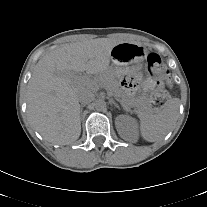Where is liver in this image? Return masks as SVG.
Listing matches in <instances>:
<instances>
[{
    "instance_id": "1",
    "label": "liver",
    "mask_w": 207,
    "mask_h": 207,
    "mask_svg": "<svg viewBox=\"0 0 207 207\" xmlns=\"http://www.w3.org/2000/svg\"><path fill=\"white\" fill-rule=\"evenodd\" d=\"M117 44L118 41L109 38L64 44L38 61L28 82L27 115L46 141L66 145L79 138L78 91L95 89V82L86 77L75 81V74L105 73Z\"/></svg>"
}]
</instances>
